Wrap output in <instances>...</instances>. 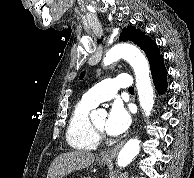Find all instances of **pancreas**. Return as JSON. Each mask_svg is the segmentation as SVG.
Instances as JSON below:
<instances>
[{"label":"pancreas","mask_w":194,"mask_h":178,"mask_svg":"<svg viewBox=\"0 0 194 178\" xmlns=\"http://www.w3.org/2000/svg\"><path fill=\"white\" fill-rule=\"evenodd\" d=\"M82 178H90V177H82Z\"/></svg>","instance_id":"pancreas-1"}]
</instances>
